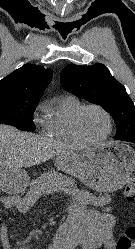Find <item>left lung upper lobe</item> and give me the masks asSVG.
<instances>
[{"instance_id":"obj_1","label":"left lung upper lobe","mask_w":135,"mask_h":249,"mask_svg":"<svg viewBox=\"0 0 135 249\" xmlns=\"http://www.w3.org/2000/svg\"><path fill=\"white\" fill-rule=\"evenodd\" d=\"M61 84L66 91L101 105L114 118L116 140L135 139V106L125 87L100 63L92 66L70 64L63 68Z\"/></svg>"}]
</instances>
